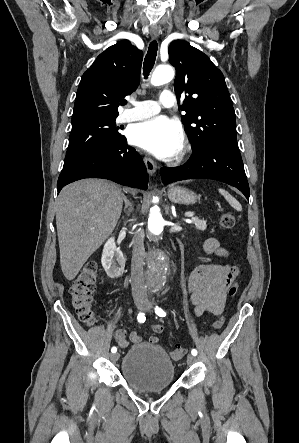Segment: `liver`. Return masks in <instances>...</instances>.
I'll return each mask as SVG.
<instances>
[{"instance_id":"liver-1","label":"liver","mask_w":299,"mask_h":443,"mask_svg":"<svg viewBox=\"0 0 299 443\" xmlns=\"http://www.w3.org/2000/svg\"><path fill=\"white\" fill-rule=\"evenodd\" d=\"M121 188L107 180L84 179L65 186L56 202L60 265L73 280L113 232L122 211Z\"/></svg>"}]
</instances>
